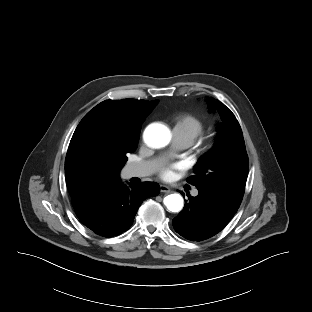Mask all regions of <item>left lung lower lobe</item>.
Segmentation results:
<instances>
[{
  "instance_id": "obj_1",
  "label": "left lung lower lobe",
  "mask_w": 312,
  "mask_h": 312,
  "mask_svg": "<svg viewBox=\"0 0 312 312\" xmlns=\"http://www.w3.org/2000/svg\"><path fill=\"white\" fill-rule=\"evenodd\" d=\"M198 190L199 194L191 197L173 219L175 231L191 241H202L219 233L239 208L219 193Z\"/></svg>"
}]
</instances>
